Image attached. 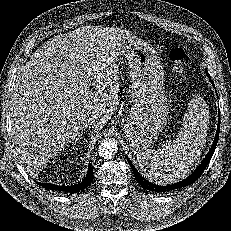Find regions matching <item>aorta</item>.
<instances>
[{
	"instance_id": "762f6f07",
	"label": "aorta",
	"mask_w": 231,
	"mask_h": 231,
	"mask_svg": "<svg viewBox=\"0 0 231 231\" xmlns=\"http://www.w3.org/2000/svg\"><path fill=\"white\" fill-rule=\"evenodd\" d=\"M118 150V144L113 138L103 140L98 148V154L103 159H110Z\"/></svg>"
}]
</instances>
